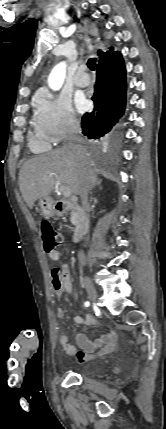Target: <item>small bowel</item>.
<instances>
[{"label": "small bowel", "mask_w": 166, "mask_h": 429, "mask_svg": "<svg viewBox=\"0 0 166 429\" xmlns=\"http://www.w3.org/2000/svg\"><path fill=\"white\" fill-rule=\"evenodd\" d=\"M62 254L61 250L56 249L49 252L48 256L52 261H58L62 257ZM50 274L52 286L59 299L72 291L71 273L67 264H62L60 267H53ZM64 314L65 312L62 307L56 309L58 318L64 317ZM73 320L77 324H83L89 327L96 323L95 318L89 315L85 317L75 316ZM59 341L62 349L68 355L75 356L80 363H84L113 351L116 346V334L114 332H109L91 341L85 334L77 332L75 333V341L80 348L79 351H76L75 347L68 342L66 335L62 332L60 333Z\"/></svg>", "instance_id": "1"}]
</instances>
